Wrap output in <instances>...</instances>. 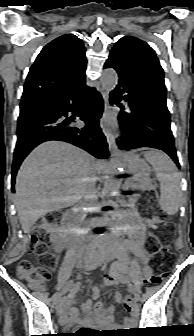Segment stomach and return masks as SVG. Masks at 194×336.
<instances>
[{"label":"stomach","instance_id":"obj_1","mask_svg":"<svg viewBox=\"0 0 194 336\" xmlns=\"http://www.w3.org/2000/svg\"><path fill=\"white\" fill-rule=\"evenodd\" d=\"M127 162L130 172L136 176L145 178L149 175L151 170L149 165L143 159L139 158L138 155L129 153L127 156Z\"/></svg>","mask_w":194,"mask_h":336}]
</instances>
